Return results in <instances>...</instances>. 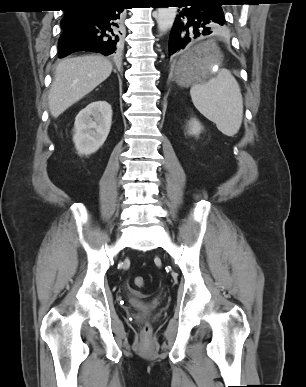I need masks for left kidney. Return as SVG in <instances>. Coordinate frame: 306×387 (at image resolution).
I'll return each mask as SVG.
<instances>
[{"mask_svg": "<svg viewBox=\"0 0 306 387\" xmlns=\"http://www.w3.org/2000/svg\"><path fill=\"white\" fill-rule=\"evenodd\" d=\"M202 130V125L197 119H191L189 121V130L188 133L191 135L198 136Z\"/></svg>", "mask_w": 306, "mask_h": 387, "instance_id": "obj_1", "label": "left kidney"}]
</instances>
